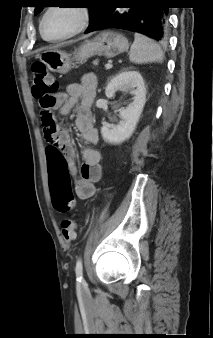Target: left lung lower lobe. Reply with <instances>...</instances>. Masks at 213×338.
<instances>
[{"mask_svg": "<svg viewBox=\"0 0 213 338\" xmlns=\"http://www.w3.org/2000/svg\"><path fill=\"white\" fill-rule=\"evenodd\" d=\"M167 13L168 8L163 6L161 0H102L96 19L85 33L117 28L142 33L156 41L165 42L168 36Z\"/></svg>", "mask_w": 213, "mask_h": 338, "instance_id": "0a47b994", "label": "left lung lower lobe"}]
</instances>
